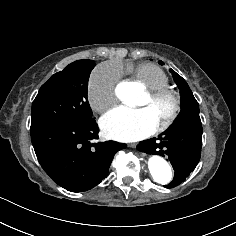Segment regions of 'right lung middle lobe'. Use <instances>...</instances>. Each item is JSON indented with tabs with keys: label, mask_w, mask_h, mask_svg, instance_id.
Wrapping results in <instances>:
<instances>
[{
	"label": "right lung middle lobe",
	"mask_w": 236,
	"mask_h": 236,
	"mask_svg": "<svg viewBox=\"0 0 236 236\" xmlns=\"http://www.w3.org/2000/svg\"><path fill=\"white\" fill-rule=\"evenodd\" d=\"M94 67V61L78 60L43 84L32 103L31 128L59 121L80 122L92 118L87 88Z\"/></svg>",
	"instance_id": "1"
}]
</instances>
